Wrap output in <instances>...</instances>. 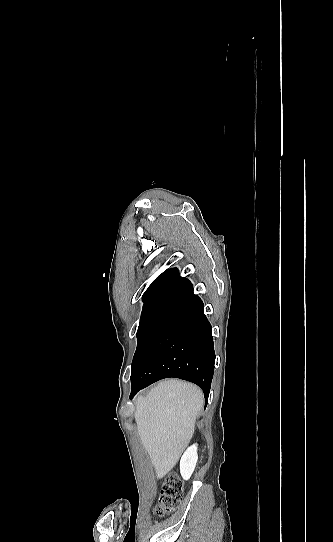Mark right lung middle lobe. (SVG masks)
Here are the masks:
<instances>
[{"label":"right lung middle lobe","mask_w":333,"mask_h":542,"mask_svg":"<svg viewBox=\"0 0 333 542\" xmlns=\"http://www.w3.org/2000/svg\"><path fill=\"white\" fill-rule=\"evenodd\" d=\"M156 305H157V303L145 304L143 306V311H142V315H141V319H140V323H139V327H138V331H137L138 340L140 339V337H141V335H142V333L144 331L146 322H147L151 312L153 311V309L155 308Z\"/></svg>","instance_id":"right-lung-middle-lobe-1"}]
</instances>
